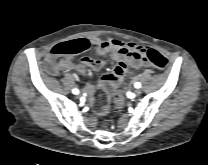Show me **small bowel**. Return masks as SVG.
<instances>
[{
    "mask_svg": "<svg viewBox=\"0 0 208 165\" xmlns=\"http://www.w3.org/2000/svg\"><path fill=\"white\" fill-rule=\"evenodd\" d=\"M87 42L95 49L97 55L109 54L116 61L114 69L104 74L99 83V86L104 88L108 94H112L125 81L132 69L145 64L141 54L144 47L137 43L123 42L111 38H93ZM104 66L105 61L103 59L83 57L80 64L74 63L69 59L63 60L60 69L63 71L75 70L81 76H85L87 70H99ZM97 110L100 114H104L108 111V107L105 104H100Z\"/></svg>",
    "mask_w": 208,
    "mask_h": 165,
    "instance_id": "c3829d8e",
    "label": "small bowel"
}]
</instances>
